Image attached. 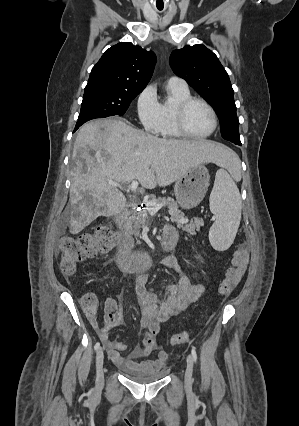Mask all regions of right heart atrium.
<instances>
[{
    "label": "right heart atrium",
    "instance_id": "right-heart-atrium-1",
    "mask_svg": "<svg viewBox=\"0 0 299 426\" xmlns=\"http://www.w3.org/2000/svg\"><path fill=\"white\" fill-rule=\"evenodd\" d=\"M136 110L143 128L157 133L160 123V103L152 85H147L138 95Z\"/></svg>",
    "mask_w": 299,
    "mask_h": 426
}]
</instances>
